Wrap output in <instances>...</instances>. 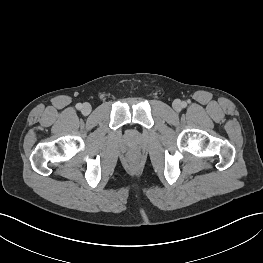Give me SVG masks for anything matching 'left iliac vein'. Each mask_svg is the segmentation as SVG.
Listing matches in <instances>:
<instances>
[{"label": "left iliac vein", "instance_id": "4c4485c4", "mask_svg": "<svg viewBox=\"0 0 263 263\" xmlns=\"http://www.w3.org/2000/svg\"><path fill=\"white\" fill-rule=\"evenodd\" d=\"M172 106H173V109H174L175 111H177V112L181 111V109H182V103H181L180 100H175V101L173 102Z\"/></svg>", "mask_w": 263, "mask_h": 263}]
</instances>
